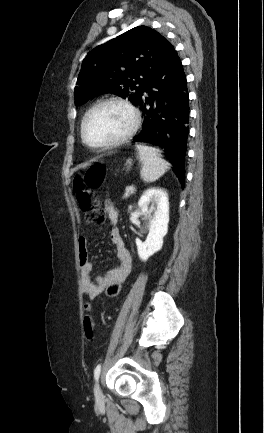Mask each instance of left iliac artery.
<instances>
[{"label":"left iliac artery","mask_w":264,"mask_h":433,"mask_svg":"<svg viewBox=\"0 0 264 433\" xmlns=\"http://www.w3.org/2000/svg\"><path fill=\"white\" fill-rule=\"evenodd\" d=\"M100 372H101V365L98 364L94 370V378L97 381L99 376H100Z\"/></svg>","instance_id":"44dca946"}]
</instances>
